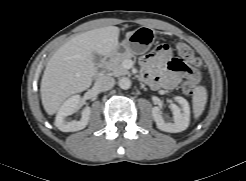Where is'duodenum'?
Returning a JSON list of instances; mask_svg holds the SVG:
<instances>
[{"instance_id": "obj_1", "label": "duodenum", "mask_w": 246, "mask_h": 181, "mask_svg": "<svg viewBox=\"0 0 246 181\" xmlns=\"http://www.w3.org/2000/svg\"><path fill=\"white\" fill-rule=\"evenodd\" d=\"M120 49H121L120 46L116 47L117 51H119ZM112 55H113V52H110L107 55H105V57L103 58L102 65L100 66L99 70L95 74L96 78L100 77L103 74L104 68L107 65V63L109 62V60L111 59Z\"/></svg>"}]
</instances>
